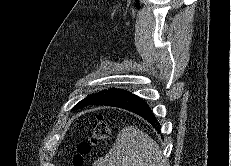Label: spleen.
<instances>
[{
    "instance_id": "1",
    "label": "spleen",
    "mask_w": 231,
    "mask_h": 166,
    "mask_svg": "<svg viewBox=\"0 0 231 166\" xmlns=\"http://www.w3.org/2000/svg\"><path fill=\"white\" fill-rule=\"evenodd\" d=\"M95 166H164L157 143L134 126L124 127L116 142Z\"/></svg>"
}]
</instances>
